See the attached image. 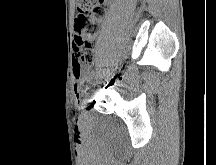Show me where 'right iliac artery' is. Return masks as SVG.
Segmentation results:
<instances>
[{"instance_id":"right-iliac-artery-1","label":"right iliac artery","mask_w":216,"mask_h":165,"mask_svg":"<svg viewBox=\"0 0 216 165\" xmlns=\"http://www.w3.org/2000/svg\"><path fill=\"white\" fill-rule=\"evenodd\" d=\"M93 76H94V72H92V73L90 74V77H89V78L92 80V79L94 78Z\"/></svg>"}]
</instances>
